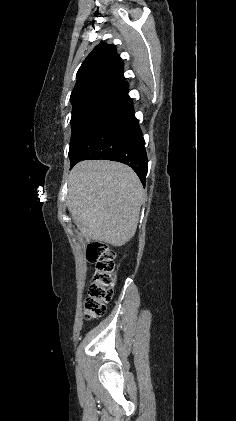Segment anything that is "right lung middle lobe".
<instances>
[{
    "instance_id": "dd1d6c3e",
    "label": "right lung middle lobe",
    "mask_w": 236,
    "mask_h": 421,
    "mask_svg": "<svg viewBox=\"0 0 236 421\" xmlns=\"http://www.w3.org/2000/svg\"><path fill=\"white\" fill-rule=\"evenodd\" d=\"M127 97L128 90L123 86L91 89L71 97L73 109L70 159L75 155L83 140Z\"/></svg>"
}]
</instances>
